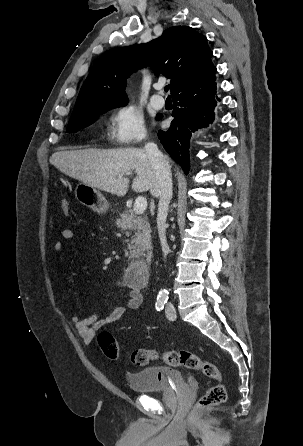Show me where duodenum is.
<instances>
[{"label":"duodenum","instance_id":"obj_1","mask_svg":"<svg viewBox=\"0 0 303 446\" xmlns=\"http://www.w3.org/2000/svg\"><path fill=\"white\" fill-rule=\"evenodd\" d=\"M149 264L145 259L133 261L126 272L127 282L134 287L142 288L148 280Z\"/></svg>","mask_w":303,"mask_h":446}]
</instances>
